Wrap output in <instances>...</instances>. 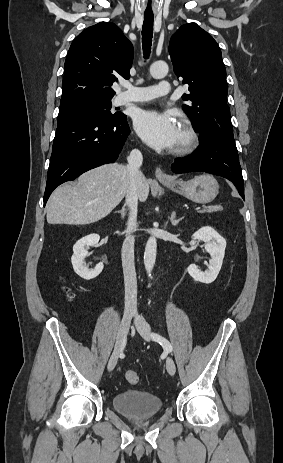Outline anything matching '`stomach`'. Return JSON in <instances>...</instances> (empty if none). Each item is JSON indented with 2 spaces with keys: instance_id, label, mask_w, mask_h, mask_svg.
Returning a JSON list of instances; mask_svg holds the SVG:
<instances>
[{
  "instance_id": "0dacf381",
  "label": "stomach",
  "mask_w": 283,
  "mask_h": 463,
  "mask_svg": "<svg viewBox=\"0 0 283 463\" xmlns=\"http://www.w3.org/2000/svg\"><path fill=\"white\" fill-rule=\"evenodd\" d=\"M166 187L196 203L211 202L219 192L217 180L208 174L194 177L191 180H176L172 183L162 182Z\"/></svg>"
}]
</instances>
